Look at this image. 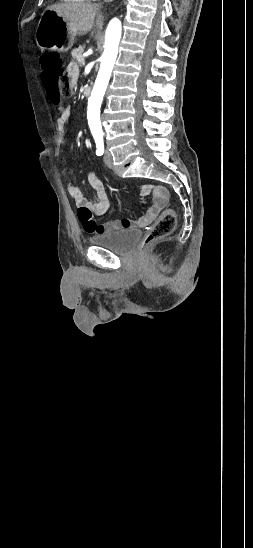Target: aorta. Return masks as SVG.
<instances>
[{
  "label": "aorta",
  "instance_id": "1",
  "mask_svg": "<svg viewBox=\"0 0 253 548\" xmlns=\"http://www.w3.org/2000/svg\"><path fill=\"white\" fill-rule=\"evenodd\" d=\"M121 34V21L118 18H113L106 29L104 52L100 59V69L91 96L88 100L87 116L92 134L95 138H102L103 135L99 118L100 106L117 58Z\"/></svg>",
  "mask_w": 253,
  "mask_h": 548
}]
</instances>
